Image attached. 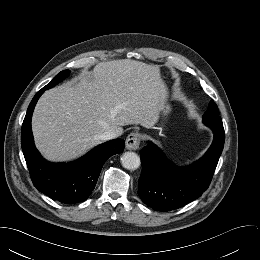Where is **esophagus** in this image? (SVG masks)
<instances>
[{
    "label": "esophagus",
    "instance_id": "obj_1",
    "mask_svg": "<svg viewBox=\"0 0 260 260\" xmlns=\"http://www.w3.org/2000/svg\"><path fill=\"white\" fill-rule=\"evenodd\" d=\"M141 141V135L139 133H131L126 138V148L128 150H137Z\"/></svg>",
    "mask_w": 260,
    "mask_h": 260
}]
</instances>
